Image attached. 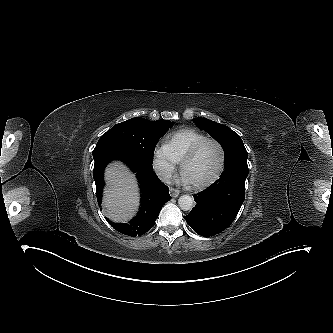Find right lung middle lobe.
<instances>
[{"label":"right lung middle lobe","mask_w":333,"mask_h":333,"mask_svg":"<svg viewBox=\"0 0 333 333\" xmlns=\"http://www.w3.org/2000/svg\"><path fill=\"white\" fill-rule=\"evenodd\" d=\"M172 127L173 122L169 120L149 121L137 117L114 125L106 134L126 141L147 163L152 165L158 139Z\"/></svg>","instance_id":"right-lung-middle-lobe-1"}]
</instances>
